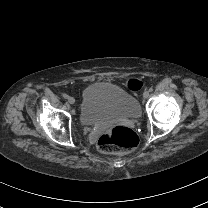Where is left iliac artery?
Returning <instances> with one entry per match:
<instances>
[{
	"mask_svg": "<svg viewBox=\"0 0 208 208\" xmlns=\"http://www.w3.org/2000/svg\"><path fill=\"white\" fill-rule=\"evenodd\" d=\"M148 91H149V92H152V91H153V88H152V87H150V88L148 89Z\"/></svg>",
	"mask_w": 208,
	"mask_h": 208,
	"instance_id": "obj_1",
	"label": "left iliac artery"
}]
</instances>
